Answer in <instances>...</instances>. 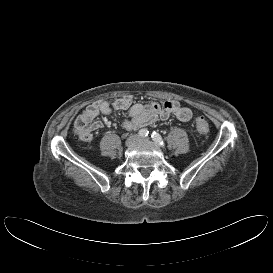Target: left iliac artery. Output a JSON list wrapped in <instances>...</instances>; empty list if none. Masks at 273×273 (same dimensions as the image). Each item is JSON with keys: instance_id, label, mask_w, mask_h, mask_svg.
Masks as SVG:
<instances>
[{"instance_id": "left-iliac-artery-1", "label": "left iliac artery", "mask_w": 273, "mask_h": 273, "mask_svg": "<svg viewBox=\"0 0 273 273\" xmlns=\"http://www.w3.org/2000/svg\"><path fill=\"white\" fill-rule=\"evenodd\" d=\"M151 138H152L153 141H154L156 144H158L159 146H161V147H164V146H165L164 141H163L161 135L158 134L157 132L154 131V132L151 134Z\"/></svg>"}]
</instances>
